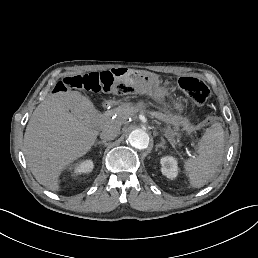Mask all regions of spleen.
<instances>
[{
	"instance_id": "3e777b00",
	"label": "spleen",
	"mask_w": 258,
	"mask_h": 258,
	"mask_svg": "<svg viewBox=\"0 0 258 258\" xmlns=\"http://www.w3.org/2000/svg\"><path fill=\"white\" fill-rule=\"evenodd\" d=\"M198 150L199 153L194 159L185 162L191 184L196 188L204 186L215 178L222 165L224 130L220 123L212 124L205 131Z\"/></svg>"
}]
</instances>
